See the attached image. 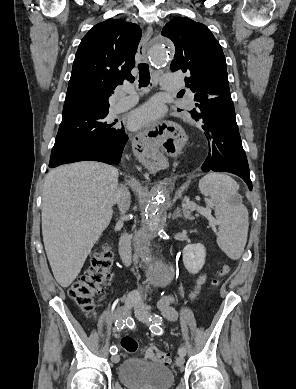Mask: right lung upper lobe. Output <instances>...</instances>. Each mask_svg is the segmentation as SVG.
<instances>
[{"label":"right lung upper lobe","mask_w":296,"mask_h":389,"mask_svg":"<svg viewBox=\"0 0 296 389\" xmlns=\"http://www.w3.org/2000/svg\"><path fill=\"white\" fill-rule=\"evenodd\" d=\"M141 29L120 19L95 25L81 40L73 62L62 117L108 112L117 85L133 82L131 70Z\"/></svg>","instance_id":"obj_1"}]
</instances>
